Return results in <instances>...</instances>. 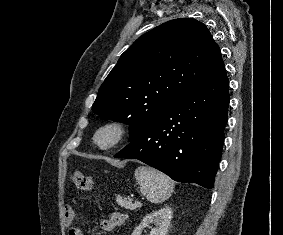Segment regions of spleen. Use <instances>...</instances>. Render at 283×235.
<instances>
[{"label":"spleen","mask_w":283,"mask_h":235,"mask_svg":"<svg viewBox=\"0 0 283 235\" xmlns=\"http://www.w3.org/2000/svg\"><path fill=\"white\" fill-rule=\"evenodd\" d=\"M140 192L153 204L166 201L173 193L175 183L164 173L147 166H139L134 172Z\"/></svg>","instance_id":"3e777b00"}]
</instances>
